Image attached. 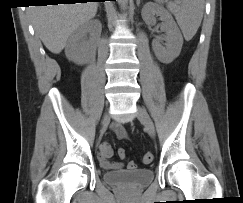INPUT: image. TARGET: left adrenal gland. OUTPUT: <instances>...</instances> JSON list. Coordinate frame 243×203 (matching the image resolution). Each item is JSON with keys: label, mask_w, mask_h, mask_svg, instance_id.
I'll use <instances>...</instances> for the list:
<instances>
[{"label": "left adrenal gland", "mask_w": 243, "mask_h": 203, "mask_svg": "<svg viewBox=\"0 0 243 203\" xmlns=\"http://www.w3.org/2000/svg\"><path fill=\"white\" fill-rule=\"evenodd\" d=\"M136 4H137V6H139L140 5V0H136Z\"/></svg>", "instance_id": "obj_1"}]
</instances>
